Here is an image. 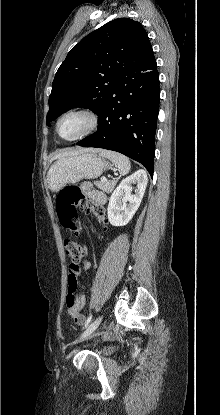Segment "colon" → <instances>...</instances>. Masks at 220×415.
<instances>
[{
	"instance_id": "1",
	"label": "colon",
	"mask_w": 220,
	"mask_h": 415,
	"mask_svg": "<svg viewBox=\"0 0 220 415\" xmlns=\"http://www.w3.org/2000/svg\"><path fill=\"white\" fill-rule=\"evenodd\" d=\"M85 197L81 190L76 186H66L58 194L56 200V211L60 223L64 228L74 233L81 232V223L78 218L76 206L84 203ZM93 212L96 217L105 216V208L101 205H94ZM64 249L67 257L71 260L69 266L68 290L66 305H73L78 291L79 263L83 258L84 251L82 246L72 240L64 241Z\"/></svg>"
}]
</instances>
